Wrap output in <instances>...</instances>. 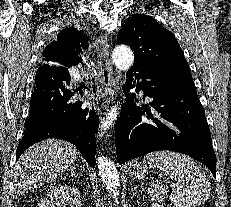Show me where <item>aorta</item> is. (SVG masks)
Segmentation results:
<instances>
[{"label": "aorta", "mask_w": 231, "mask_h": 207, "mask_svg": "<svg viewBox=\"0 0 231 207\" xmlns=\"http://www.w3.org/2000/svg\"><path fill=\"white\" fill-rule=\"evenodd\" d=\"M112 59L115 66L119 70H128L134 63V54L132 50L125 46H117L113 53ZM120 115V106L117 104L106 114V117L102 119L100 125V132L98 137H102L103 134L113 125L115 120ZM99 176L106 189L114 196L118 194V187L120 185L119 174L114 163L104 156H99L96 159Z\"/></svg>", "instance_id": "1"}]
</instances>
